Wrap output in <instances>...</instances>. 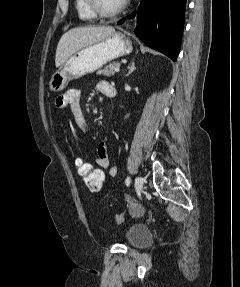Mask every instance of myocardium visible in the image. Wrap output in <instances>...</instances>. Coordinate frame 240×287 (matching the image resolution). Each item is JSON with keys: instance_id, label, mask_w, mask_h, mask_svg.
<instances>
[{"instance_id": "1", "label": "myocardium", "mask_w": 240, "mask_h": 287, "mask_svg": "<svg viewBox=\"0 0 240 287\" xmlns=\"http://www.w3.org/2000/svg\"><path fill=\"white\" fill-rule=\"evenodd\" d=\"M91 10L96 16L102 18H110L120 14L127 6V1L123 0L120 5H118L115 9L106 10L101 6L100 0H88Z\"/></svg>"}]
</instances>
